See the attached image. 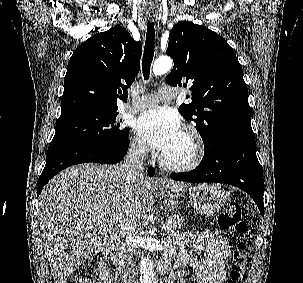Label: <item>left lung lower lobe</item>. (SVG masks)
Returning a JSON list of instances; mask_svg holds the SVG:
<instances>
[{
    "mask_svg": "<svg viewBox=\"0 0 303 283\" xmlns=\"http://www.w3.org/2000/svg\"><path fill=\"white\" fill-rule=\"evenodd\" d=\"M177 181L230 184L247 192L264 214V180L261 165L256 156L254 134L233 133L220 138L197 168L186 173H172Z\"/></svg>",
    "mask_w": 303,
    "mask_h": 283,
    "instance_id": "obj_1",
    "label": "left lung lower lobe"
}]
</instances>
